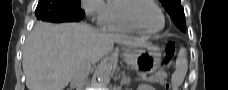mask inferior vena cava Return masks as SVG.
Listing matches in <instances>:
<instances>
[{
    "instance_id": "602c4592",
    "label": "inferior vena cava",
    "mask_w": 228,
    "mask_h": 90,
    "mask_svg": "<svg viewBox=\"0 0 228 90\" xmlns=\"http://www.w3.org/2000/svg\"><path fill=\"white\" fill-rule=\"evenodd\" d=\"M98 32H104L102 30H97ZM91 68V60L86 58L82 60L75 68L72 78L71 86L76 88V90H81L85 85V79L88 77Z\"/></svg>"
}]
</instances>
